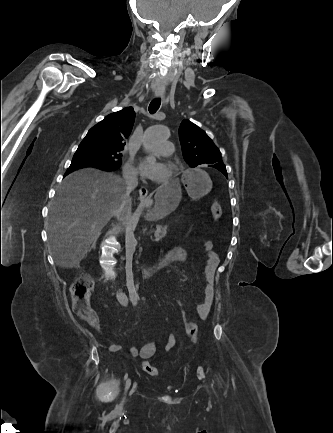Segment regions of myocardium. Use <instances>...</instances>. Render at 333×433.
Here are the masks:
<instances>
[{
	"instance_id": "myocardium-1",
	"label": "myocardium",
	"mask_w": 333,
	"mask_h": 433,
	"mask_svg": "<svg viewBox=\"0 0 333 433\" xmlns=\"http://www.w3.org/2000/svg\"><path fill=\"white\" fill-rule=\"evenodd\" d=\"M167 168H168V175H167V178L162 182L163 185H167L170 183L171 177H172L173 172H174V166L171 163L167 164Z\"/></svg>"
}]
</instances>
